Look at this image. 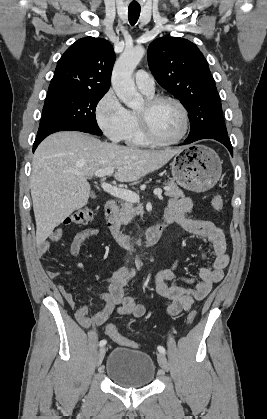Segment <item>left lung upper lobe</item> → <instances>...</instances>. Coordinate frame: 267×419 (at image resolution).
<instances>
[{
	"label": "left lung upper lobe",
	"mask_w": 267,
	"mask_h": 419,
	"mask_svg": "<svg viewBox=\"0 0 267 419\" xmlns=\"http://www.w3.org/2000/svg\"><path fill=\"white\" fill-rule=\"evenodd\" d=\"M148 64L156 81L186 108L190 126L203 120L214 135L227 133L215 81L194 43L178 37L158 38L149 45Z\"/></svg>",
	"instance_id": "1"
}]
</instances>
